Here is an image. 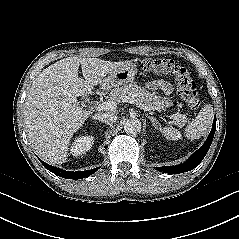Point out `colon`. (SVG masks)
Here are the masks:
<instances>
[{
	"mask_svg": "<svg viewBox=\"0 0 239 239\" xmlns=\"http://www.w3.org/2000/svg\"><path fill=\"white\" fill-rule=\"evenodd\" d=\"M141 69L147 74L169 75L174 79L177 91L185 103L196 109L200 105L199 90L189 71L169 59L144 60Z\"/></svg>",
	"mask_w": 239,
	"mask_h": 239,
	"instance_id": "1",
	"label": "colon"
}]
</instances>
